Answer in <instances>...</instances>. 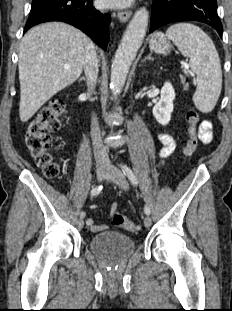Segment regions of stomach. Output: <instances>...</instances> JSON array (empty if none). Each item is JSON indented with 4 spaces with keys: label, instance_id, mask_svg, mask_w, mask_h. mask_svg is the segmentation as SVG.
Here are the masks:
<instances>
[{
    "label": "stomach",
    "instance_id": "obj_1",
    "mask_svg": "<svg viewBox=\"0 0 232 311\" xmlns=\"http://www.w3.org/2000/svg\"><path fill=\"white\" fill-rule=\"evenodd\" d=\"M149 48L155 53L167 55L170 52L171 45L163 33L156 32L149 40Z\"/></svg>",
    "mask_w": 232,
    "mask_h": 311
}]
</instances>
